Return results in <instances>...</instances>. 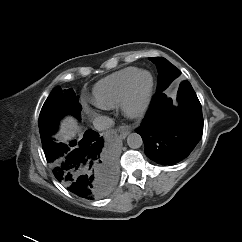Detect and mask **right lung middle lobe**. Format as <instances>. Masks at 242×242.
Here are the masks:
<instances>
[{
	"instance_id": "right-lung-middle-lobe-1",
	"label": "right lung middle lobe",
	"mask_w": 242,
	"mask_h": 242,
	"mask_svg": "<svg viewBox=\"0 0 242 242\" xmlns=\"http://www.w3.org/2000/svg\"><path fill=\"white\" fill-rule=\"evenodd\" d=\"M79 97L73 89L62 91L58 86L52 90L45 101L39 115V130L42 144L58 128L59 120L66 114H71L80 119Z\"/></svg>"
}]
</instances>
